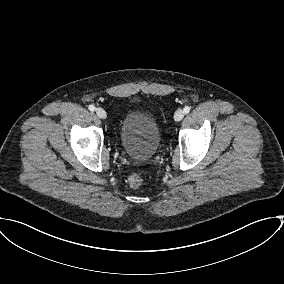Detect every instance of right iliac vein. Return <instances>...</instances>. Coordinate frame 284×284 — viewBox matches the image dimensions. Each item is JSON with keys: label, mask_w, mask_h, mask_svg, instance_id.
I'll use <instances>...</instances> for the list:
<instances>
[{"label": "right iliac vein", "mask_w": 284, "mask_h": 284, "mask_svg": "<svg viewBox=\"0 0 284 284\" xmlns=\"http://www.w3.org/2000/svg\"><path fill=\"white\" fill-rule=\"evenodd\" d=\"M96 114L99 118L105 119L107 117L106 111L102 108H97L96 109Z\"/></svg>", "instance_id": "obj_1"}]
</instances>
